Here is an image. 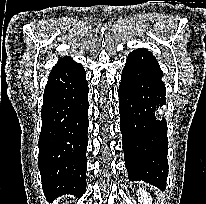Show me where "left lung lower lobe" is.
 <instances>
[{
  "instance_id": "0a47b994",
  "label": "left lung lower lobe",
  "mask_w": 206,
  "mask_h": 204,
  "mask_svg": "<svg viewBox=\"0 0 206 204\" xmlns=\"http://www.w3.org/2000/svg\"><path fill=\"white\" fill-rule=\"evenodd\" d=\"M163 72L155 57L132 64L127 58L119 86L120 130L125 166L131 181L143 180L162 191L168 175Z\"/></svg>"
}]
</instances>
